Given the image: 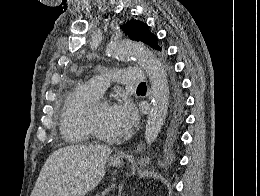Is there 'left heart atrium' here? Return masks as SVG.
I'll return each mask as SVG.
<instances>
[{
    "label": "left heart atrium",
    "mask_w": 260,
    "mask_h": 196,
    "mask_svg": "<svg viewBox=\"0 0 260 196\" xmlns=\"http://www.w3.org/2000/svg\"><path fill=\"white\" fill-rule=\"evenodd\" d=\"M111 114L118 131L121 133L128 132L138 119L134 105L127 98H122L113 104Z\"/></svg>",
    "instance_id": "obj_1"
}]
</instances>
